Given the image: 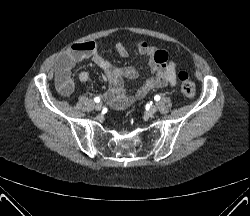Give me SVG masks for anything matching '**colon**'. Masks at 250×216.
Masks as SVG:
<instances>
[{
    "instance_id": "obj_1",
    "label": "colon",
    "mask_w": 250,
    "mask_h": 216,
    "mask_svg": "<svg viewBox=\"0 0 250 216\" xmlns=\"http://www.w3.org/2000/svg\"><path fill=\"white\" fill-rule=\"evenodd\" d=\"M178 78L181 83V92L187 99H192L195 96V84L187 72H180Z\"/></svg>"
}]
</instances>
